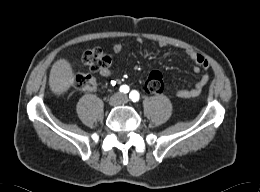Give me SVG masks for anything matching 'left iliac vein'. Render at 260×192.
<instances>
[{
    "mask_svg": "<svg viewBox=\"0 0 260 192\" xmlns=\"http://www.w3.org/2000/svg\"><path fill=\"white\" fill-rule=\"evenodd\" d=\"M127 101H128L127 96H123L122 99H121V102L122 103H126Z\"/></svg>",
    "mask_w": 260,
    "mask_h": 192,
    "instance_id": "4c4485c4",
    "label": "left iliac vein"
}]
</instances>
